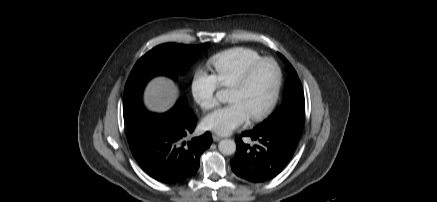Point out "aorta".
<instances>
[{"mask_svg": "<svg viewBox=\"0 0 437 202\" xmlns=\"http://www.w3.org/2000/svg\"><path fill=\"white\" fill-rule=\"evenodd\" d=\"M216 98L221 102L226 101V91H218ZM218 149L224 155H232L236 151V143L231 139H223L219 142Z\"/></svg>", "mask_w": 437, "mask_h": 202, "instance_id": "1", "label": "aorta"}]
</instances>
